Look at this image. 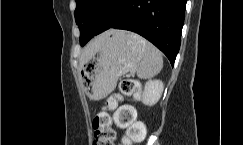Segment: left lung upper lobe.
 Segmentation results:
<instances>
[{
    "instance_id": "obj_1",
    "label": "left lung upper lobe",
    "mask_w": 243,
    "mask_h": 145,
    "mask_svg": "<svg viewBox=\"0 0 243 145\" xmlns=\"http://www.w3.org/2000/svg\"><path fill=\"white\" fill-rule=\"evenodd\" d=\"M75 21L80 29V44L82 46L84 40L89 36L90 29L87 22L96 14L101 17L105 14L113 15L121 6L124 0H75Z\"/></svg>"
}]
</instances>
